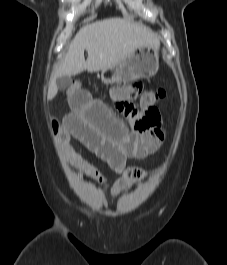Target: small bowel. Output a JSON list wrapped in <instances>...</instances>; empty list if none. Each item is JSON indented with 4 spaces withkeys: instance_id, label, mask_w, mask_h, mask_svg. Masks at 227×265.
<instances>
[{
    "instance_id": "1",
    "label": "small bowel",
    "mask_w": 227,
    "mask_h": 265,
    "mask_svg": "<svg viewBox=\"0 0 227 265\" xmlns=\"http://www.w3.org/2000/svg\"><path fill=\"white\" fill-rule=\"evenodd\" d=\"M141 85V81H128V86ZM67 100L72 112L63 120L62 140L67 143L70 136H73L120 176L110 186L109 178L97 167L69 151L74 170L82 178H89L108 190L111 198L128 191L142 178L143 171L129 166L127 160L144 159L154 154L165 139V131L161 127L144 133L128 129L101 100L93 99L89 91H83V87H70ZM114 108H119V112H135L134 103H130V99H121V103L116 100Z\"/></svg>"
}]
</instances>
